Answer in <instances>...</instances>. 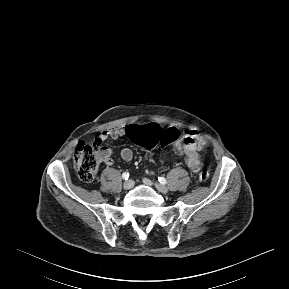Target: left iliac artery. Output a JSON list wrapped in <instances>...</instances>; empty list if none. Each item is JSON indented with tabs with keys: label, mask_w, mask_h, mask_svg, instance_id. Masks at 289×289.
<instances>
[{
	"label": "left iliac artery",
	"mask_w": 289,
	"mask_h": 289,
	"mask_svg": "<svg viewBox=\"0 0 289 289\" xmlns=\"http://www.w3.org/2000/svg\"><path fill=\"white\" fill-rule=\"evenodd\" d=\"M158 180L161 184H166V179L164 177H159Z\"/></svg>",
	"instance_id": "44dca946"
}]
</instances>
